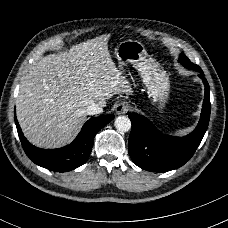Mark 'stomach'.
Here are the masks:
<instances>
[{
  "mask_svg": "<svg viewBox=\"0 0 228 228\" xmlns=\"http://www.w3.org/2000/svg\"><path fill=\"white\" fill-rule=\"evenodd\" d=\"M119 70L131 64L140 74L152 98L153 105L157 104L162 111L167 103L170 90L168 74L155 66L144 45L138 41L127 40L121 42L116 50Z\"/></svg>",
  "mask_w": 228,
  "mask_h": 228,
  "instance_id": "0dacf381",
  "label": "stomach"
}]
</instances>
